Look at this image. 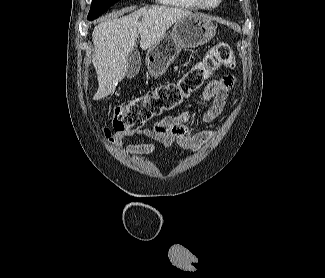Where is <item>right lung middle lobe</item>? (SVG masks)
<instances>
[{
	"mask_svg": "<svg viewBox=\"0 0 325 278\" xmlns=\"http://www.w3.org/2000/svg\"><path fill=\"white\" fill-rule=\"evenodd\" d=\"M119 0H92L88 20L92 21L104 13L110 6Z\"/></svg>",
	"mask_w": 325,
	"mask_h": 278,
	"instance_id": "obj_1",
	"label": "right lung middle lobe"
}]
</instances>
